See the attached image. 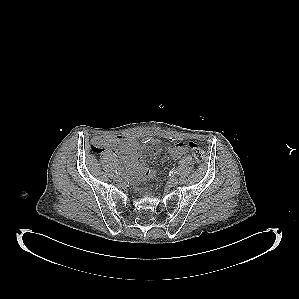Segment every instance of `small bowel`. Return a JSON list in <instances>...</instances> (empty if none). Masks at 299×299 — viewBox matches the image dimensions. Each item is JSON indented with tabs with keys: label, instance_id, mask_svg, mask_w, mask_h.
<instances>
[{
	"label": "small bowel",
	"instance_id": "1",
	"mask_svg": "<svg viewBox=\"0 0 299 299\" xmlns=\"http://www.w3.org/2000/svg\"><path fill=\"white\" fill-rule=\"evenodd\" d=\"M107 146L113 149L114 154L124 164L128 174L135 180L143 181L155 176V171L145 165L140 154V142L136 138L129 136L108 137ZM188 150L189 147L186 143L178 142L168 148V157L176 160L186 154Z\"/></svg>",
	"mask_w": 299,
	"mask_h": 299
}]
</instances>
